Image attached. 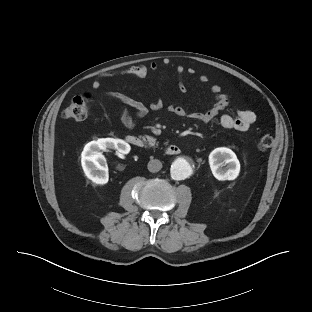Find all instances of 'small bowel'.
<instances>
[{
	"label": "small bowel",
	"mask_w": 312,
	"mask_h": 312,
	"mask_svg": "<svg viewBox=\"0 0 312 312\" xmlns=\"http://www.w3.org/2000/svg\"><path fill=\"white\" fill-rule=\"evenodd\" d=\"M158 70V64L152 62L148 67L144 65H135L119 71L108 72L103 76L97 77L92 86L98 89L102 84V79L104 77H112L115 75H127L136 78H145L150 71L156 72ZM178 76L182 79L183 69L181 67L177 70ZM200 84H206L208 82V77L201 75L198 78ZM179 90L181 93L186 92V87L182 82H180ZM211 92L215 96V101L213 104L202 112L188 113L182 107L178 105H170L168 111L175 114L178 117H187L202 123H208L212 121L225 107L229 104L228 97L221 93V89L217 85H213L210 88ZM108 98L116 99L120 101L123 106L118 110L121 123L126 128H133L137 121L144 117L148 111V107L141 101L132 98L128 95L118 94V93H107ZM128 107L134 110V114H131ZM154 108H159V104L153 105ZM256 115L251 110H242L237 115H223L220 119V125L222 128L227 130H237V131H247L250 126L255 122Z\"/></svg>",
	"instance_id": "obj_1"
}]
</instances>
